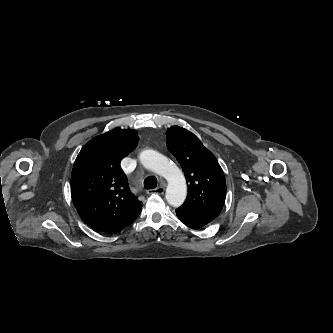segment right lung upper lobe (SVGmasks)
<instances>
[{
	"mask_svg": "<svg viewBox=\"0 0 333 333\" xmlns=\"http://www.w3.org/2000/svg\"><path fill=\"white\" fill-rule=\"evenodd\" d=\"M138 140L137 131L114 128L89 141L78 154L71 175V197L90 228L118 233L139 216L143 203L131 193L120 167Z\"/></svg>",
	"mask_w": 333,
	"mask_h": 333,
	"instance_id": "right-lung-upper-lobe-1",
	"label": "right lung upper lobe"
}]
</instances>
